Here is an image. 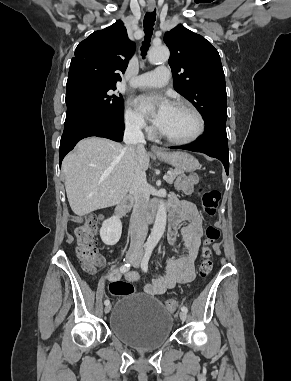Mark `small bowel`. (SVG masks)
Returning a JSON list of instances; mask_svg holds the SVG:
<instances>
[{
  "label": "small bowel",
  "mask_w": 291,
  "mask_h": 381,
  "mask_svg": "<svg viewBox=\"0 0 291 381\" xmlns=\"http://www.w3.org/2000/svg\"><path fill=\"white\" fill-rule=\"evenodd\" d=\"M184 221L186 224L180 229L179 226ZM179 233L183 240L184 255L168 262L165 275L155 277L151 282L143 284V290L146 294L161 295L177 283L190 282L195 278V261L202 234V219L196 206L191 202L174 201L171 205L169 240L175 248L180 247L178 243ZM120 277L121 274L117 270H112L108 275L111 282L119 280ZM124 278L128 282L141 281L140 275L133 271L127 272Z\"/></svg>",
  "instance_id": "1"
}]
</instances>
